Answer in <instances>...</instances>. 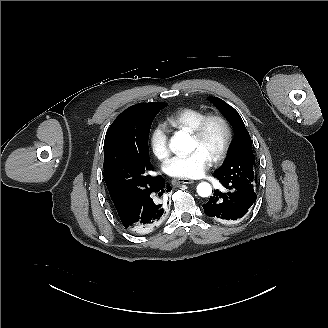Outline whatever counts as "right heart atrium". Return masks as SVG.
Instances as JSON below:
<instances>
[{"label":"right heart atrium","mask_w":328,"mask_h":328,"mask_svg":"<svg viewBox=\"0 0 328 328\" xmlns=\"http://www.w3.org/2000/svg\"><path fill=\"white\" fill-rule=\"evenodd\" d=\"M149 149L151 153L160 160L170 155L169 138L167 126L161 122H155L149 132Z\"/></svg>","instance_id":"1"}]
</instances>
